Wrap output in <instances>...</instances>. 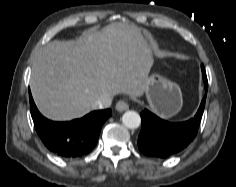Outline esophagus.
Returning a JSON list of instances; mask_svg holds the SVG:
<instances>
[{
	"mask_svg": "<svg viewBox=\"0 0 236 187\" xmlns=\"http://www.w3.org/2000/svg\"><path fill=\"white\" fill-rule=\"evenodd\" d=\"M115 108L117 111L122 112L129 108V105L126 101L120 100L116 103Z\"/></svg>",
	"mask_w": 236,
	"mask_h": 187,
	"instance_id": "esophagus-1",
	"label": "esophagus"
}]
</instances>
